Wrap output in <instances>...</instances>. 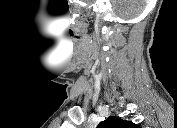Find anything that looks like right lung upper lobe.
<instances>
[{"label": "right lung upper lobe", "instance_id": "cb5924a9", "mask_svg": "<svg viewBox=\"0 0 177 128\" xmlns=\"http://www.w3.org/2000/svg\"><path fill=\"white\" fill-rule=\"evenodd\" d=\"M100 128H137L138 125L131 121L122 120L115 116H110L99 124Z\"/></svg>", "mask_w": 177, "mask_h": 128}]
</instances>
